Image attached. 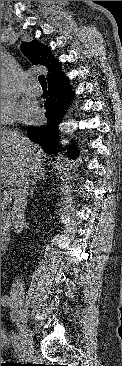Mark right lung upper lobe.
<instances>
[{
  "instance_id": "right-lung-upper-lobe-1",
  "label": "right lung upper lobe",
  "mask_w": 122,
  "mask_h": 366,
  "mask_svg": "<svg viewBox=\"0 0 122 366\" xmlns=\"http://www.w3.org/2000/svg\"><path fill=\"white\" fill-rule=\"evenodd\" d=\"M22 51L34 64L45 66L48 69V83L55 82L63 77L60 63L51 56L50 49L37 41L23 43Z\"/></svg>"
}]
</instances>
